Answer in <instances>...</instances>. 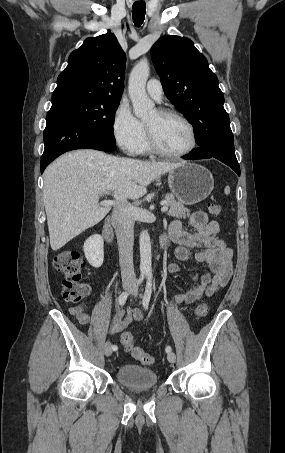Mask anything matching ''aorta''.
Masks as SVG:
<instances>
[{"mask_svg":"<svg viewBox=\"0 0 285 453\" xmlns=\"http://www.w3.org/2000/svg\"><path fill=\"white\" fill-rule=\"evenodd\" d=\"M150 72L146 58L141 59L132 69L129 77V95L133 110L138 118H147L154 112L155 104L146 94L145 86ZM140 271L142 274L151 273V242L147 230L140 234Z\"/></svg>","mask_w":285,"mask_h":453,"instance_id":"762f6f07","label":"aorta"}]
</instances>
